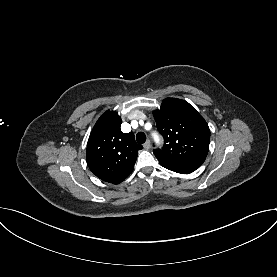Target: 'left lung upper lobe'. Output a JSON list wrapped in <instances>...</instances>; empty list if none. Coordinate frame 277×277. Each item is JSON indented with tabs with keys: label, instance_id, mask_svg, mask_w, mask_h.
Returning <instances> with one entry per match:
<instances>
[{
	"label": "left lung upper lobe",
	"instance_id": "5c2ea615",
	"mask_svg": "<svg viewBox=\"0 0 277 277\" xmlns=\"http://www.w3.org/2000/svg\"><path fill=\"white\" fill-rule=\"evenodd\" d=\"M154 118L165 143L154 150L161 166L182 174L199 168L208 154L210 130L197 110L184 100L166 98Z\"/></svg>",
	"mask_w": 277,
	"mask_h": 277
}]
</instances>
